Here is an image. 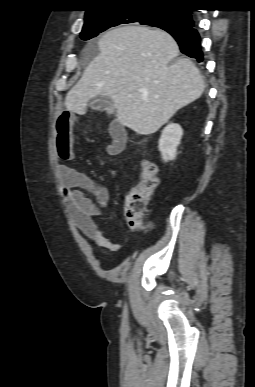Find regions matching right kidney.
<instances>
[{
	"label": "right kidney",
	"instance_id": "1",
	"mask_svg": "<svg viewBox=\"0 0 255 387\" xmlns=\"http://www.w3.org/2000/svg\"><path fill=\"white\" fill-rule=\"evenodd\" d=\"M183 130L179 124L171 123L162 131L159 139L158 149L162 159L167 162L174 160L177 155V147L180 144Z\"/></svg>",
	"mask_w": 255,
	"mask_h": 387
}]
</instances>
